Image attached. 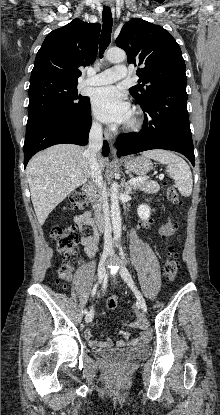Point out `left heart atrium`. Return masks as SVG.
Segmentation results:
<instances>
[{
    "label": "left heart atrium",
    "instance_id": "1",
    "mask_svg": "<svg viewBox=\"0 0 220 415\" xmlns=\"http://www.w3.org/2000/svg\"><path fill=\"white\" fill-rule=\"evenodd\" d=\"M92 108L98 119L108 123H124L131 118L130 104L114 86L96 89L92 94Z\"/></svg>",
    "mask_w": 220,
    "mask_h": 415
}]
</instances>
